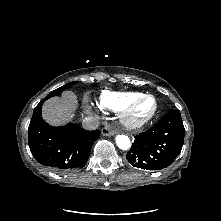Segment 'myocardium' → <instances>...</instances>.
Returning a JSON list of instances; mask_svg holds the SVG:
<instances>
[{
    "instance_id": "myocardium-1",
    "label": "myocardium",
    "mask_w": 221,
    "mask_h": 221,
    "mask_svg": "<svg viewBox=\"0 0 221 221\" xmlns=\"http://www.w3.org/2000/svg\"><path fill=\"white\" fill-rule=\"evenodd\" d=\"M145 99H153L154 108L152 112L141 120L132 119L131 117L132 110L136 107L138 103H140L141 101ZM157 111H158L157 99L151 94H142L138 96L137 98L128 102L126 105H124V107L120 110L119 118H120L121 124L125 128L129 130H138V129L145 127L147 124H149L153 120V118L156 116Z\"/></svg>"
}]
</instances>
